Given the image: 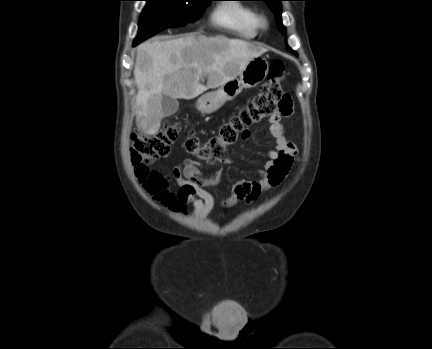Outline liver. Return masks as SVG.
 I'll list each match as a JSON object with an SVG mask.
<instances>
[{
	"label": "liver",
	"instance_id": "liver-1",
	"mask_svg": "<svg viewBox=\"0 0 432 349\" xmlns=\"http://www.w3.org/2000/svg\"><path fill=\"white\" fill-rule=\"evenodd\" d=\"M266 48L224 35L189 34L165 41H147L137 47L134 77L137 126L148 135L158 132L164 95L192 99L210 88L235 79ZM208 76L207 85L200 83Z\"/></svg>",
	"mask_w": 432,
	"mask_h": 349
}]
</instances>
